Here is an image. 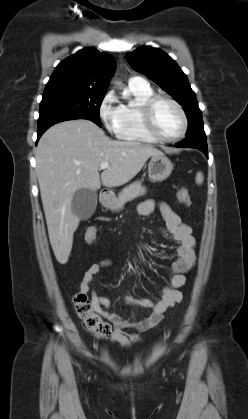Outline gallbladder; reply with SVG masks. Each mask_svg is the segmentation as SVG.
<instances>
[{
	"instance_id": "bac80fb5",
	"label": "gallbladder",
	"mask_w": 248,
	"mask_h": 419,
	"mask_svg": "<svg viewBox=\"0 0 248 419\" xmlns=\"http://www.w3.org/2000/svg\"><path fill=\"white\" fill-rule=\"evenodd\" d=\"M97 199L98 195L94 190L86 188L77 190L71 203L73 213L82 220L89 219L96 209Z\"/></svg>"
}]
</instances>
